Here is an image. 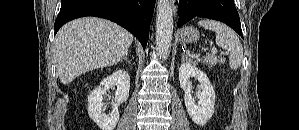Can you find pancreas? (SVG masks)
Instances as JSON below:
<instances>
[{"label": "pancreas", "instance_id": "obj_1", "mask_svg": "<svg viewBox=\"0 0 299 130\" xmlns=\"http://www.w3.org/2000/svg\"><path fill=\"white\" fill-rule=\"evenodd\" d=\"M224 59L217 57L215 55H207L204 57L203 62L209 67L215 66L217 63H223ZM197 63V61H195Z\"/></svg>", "mask_w": 299, "mask_h": 130}]
</instances>
